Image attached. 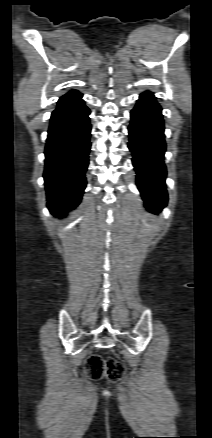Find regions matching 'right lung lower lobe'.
<instances>
[{
  "mask_svg": "<svg viewBox=\"0 0 212 438\" xmlns=\"http://www.w3.org/2000/svg\"><path fill=\"white\" fill-rule=\"evenodd\" d=\"M90 110L82 94L61 97L50 119L45 148L44 180L47 207L65 216L81 201L90 151Z\"/></svg>",
  "mask_w": 212,
  "mask_h": 438,
  "instance_id": "right-lung-lower-lobe-1",
  "label": "right lung lower lobe"
}]
</instances>
